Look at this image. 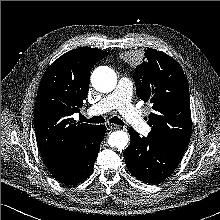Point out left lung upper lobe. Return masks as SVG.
Returning a JSON list of instances; mask_svg holds the SVG:
<instances>
[{
	"mask_svg": "<svg viewBox=\"0 0 220 220\" xmlns=\"http://www.w3.org/2000/svg\"><path fill=\"white\" fill-rule=\"evenodd\" d=\"M137 96L150 100V134L186 147L191 136L189 89L179 64L167 54L148 48L134 72Z\"/></svg>",
	"mask_w": 220,
	"mask_h": 220,
	"instance_id": "1",
	"label": "left lung upper lobe"
}]
</instances>
